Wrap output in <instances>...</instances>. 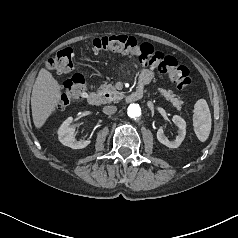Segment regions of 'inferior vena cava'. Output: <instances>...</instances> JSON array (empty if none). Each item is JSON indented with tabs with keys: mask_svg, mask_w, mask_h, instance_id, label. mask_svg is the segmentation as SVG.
<instances>
[{
	"mask_svg": "<svg viewBox=\"0 0 238 238\" xmlns=\"http://www.w3.org/2000/svg\"><path fill=\"white\" fill-rule=\"evenodd\" d=\"M117 111V107L113 105H108L103 108V113L107 115H112Z\"/></svg>",
	"mask_w": 238,
	"mask_h": 238,
	"instance_id": "inferior-vena-cava-1",
	"label": "inferior vena cava"
}]
</instances>
